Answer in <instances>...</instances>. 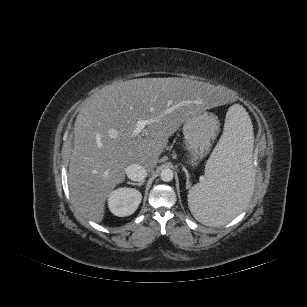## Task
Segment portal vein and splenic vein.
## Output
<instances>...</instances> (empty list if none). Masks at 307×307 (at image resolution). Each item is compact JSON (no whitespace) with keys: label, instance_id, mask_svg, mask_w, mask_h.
I'll return each mask as SVG.
<instances>
[{"label":"portal vein and splenic vein","instance_id":"obj_1","mask_svg":"<svg viewBox=\"0 0 307 307\" xmlns=\"http://www.w3.org/2000/svg\"><path fill=\"white\" fill-rule=\"evenodd\" d=\"M151 122L152 120L139 119L133 131V136H138L144 130L145 126L150 124Z\"/></svg>","mask_w":307,"mask_h":307}]
</instances>
